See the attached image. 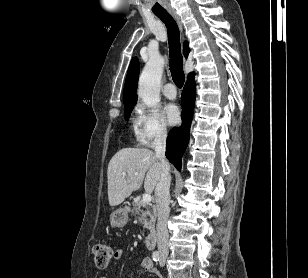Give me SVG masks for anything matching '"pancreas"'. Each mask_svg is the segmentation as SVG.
Here are the masks:
<instances>
[{
  "mask_svg": "<svg viewBox=\"0 0 308 278\" xmlns=\"http://www.w3.org/2000/svg\"><path fill=\"white\" fill-rule=\"evenodd\" d=\"M136 213H139L141 217L139 218L143 227L150 232L155 230L156 222V208L154 205L145 203L143 200H138L133 203ZM142 208H145L143 210Z\"/></svg>",
  "mask_w": 308,
  "mask_h": 278,
  "instance_id": "cf45deb5",
  "label": "pancreas"
}]
</instances>
